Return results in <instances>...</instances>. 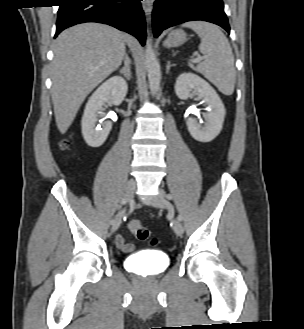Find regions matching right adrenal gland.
<instances>
[{"label": "right adrenal gland", "mask_w": 304, "mask_h": 329, "mask_svg": "<svg viewBox=\"0 0 304 329\" xmlns=\"http://www.w3.org/2000/svg\"><path fill=\"white\" fill-rule=\"evenodd\" d=\"M119 73L123 75V77L127 80L131 78V60L129 59L128 55H125L124 58V67L119 70Z\"/></svg>", "instance_id": "obj_1"}]
</instances>
